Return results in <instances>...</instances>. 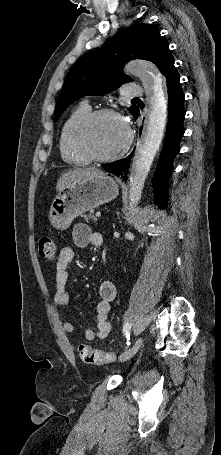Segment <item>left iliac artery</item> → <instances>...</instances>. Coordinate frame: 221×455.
Returning a JSON list of instances; mask_svg holds the SVG:
<instances>
[{
	"label": "left iliac artery",
	"mask_w": 221,
	"mask_h": 455,
	"mask_svg": "<svg viewBox=\"0 0 221 455\" xmlns=\"http://www.w3.org/2000/svg\"><path fill=\"white\" fill-rule=\"evenodd\" d=\"M130 328H131V324L130 323H126L123 327V332L125 334V337L127 338V345H130Z\"/></svg>",
	"instance_id": "1"
}]
</instances>
